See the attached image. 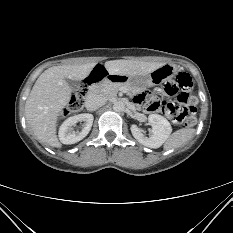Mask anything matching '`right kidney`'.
Returning a JSON list of instances; mask_svg holds the SVG:
<instances>
[{"instance_id": "1", "label": "right kidney", "mask_w": 233, "mask_h": 233, "mask_svg": "<svg viewBox=\"0 0 233 233\" xmlns=\"http://www.w3.org/2000/svg\"><path fill=\"white\" fill-rule=\"evenodd\" d=\"M94 117L92 114L83 113L75 115L66 119L59 128V140L63 144H74L79 142L87 136L91 130ZM84 122L83 129L81 132H75L72 126L76 125L77 122Z\"/></svg>"}]
</instances>
